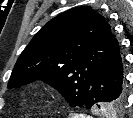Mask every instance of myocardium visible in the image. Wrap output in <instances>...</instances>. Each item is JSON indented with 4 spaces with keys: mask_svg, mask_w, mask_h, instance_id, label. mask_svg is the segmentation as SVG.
Listing matches in <instances>:
<instances>
[{
    "mask_svg": "<svg viewBox=\"0 0 133 118\" xmlns=\"http://www.w3.org/2000/svg\"><path fill=\"white\" fill-rule=\"evenodd\" d=\"M54 94L55 91L52 86L46 84H36L27 90L26 98L30 104H39L50 100Z\"/></svg>",
    "mask_w": 133,
    "mask_h": 118,
    "instance_id": "1",
    "label": "myocardium"
}]
</instances>
